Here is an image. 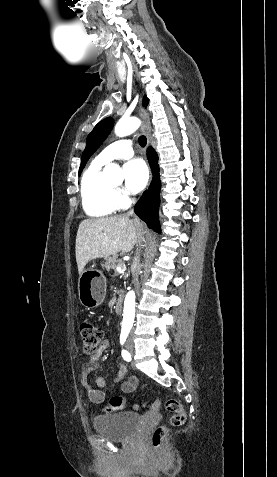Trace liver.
Wrapping results in <instances>:
<instances>
[{
  "instance_id": "obj_1",
  "label": "liver",
  "mask_w": 277,
  "mask_h": 477,
  "mask_svg": "<svg viewBox=\"0 0 277 477\" xmlns=\"http://www.w3.org/2000/svg\"><path fill=\"white\" fill-rule=\"evenodd\" d=\"M140 235L141 223L125 215L83 220L78 227L75 246L79 274L93 259L130 252L139 242Z\"/></svg>"
}]
</instances>
